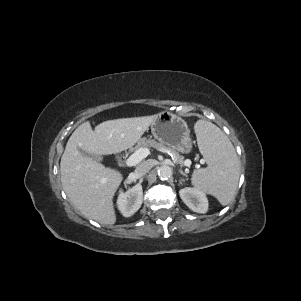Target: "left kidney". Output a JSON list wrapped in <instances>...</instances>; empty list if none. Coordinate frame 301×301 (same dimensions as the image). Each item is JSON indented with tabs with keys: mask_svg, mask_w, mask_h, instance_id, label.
Returning <instances> with one entry per match:
<instances>
[{
	"mask_svg": "<svg viewBox=\"0 0 301 301\" xmlns=\"http://www.w3.org/2000/svg\"><path fill=\"white\" fill-rule=\"evenodd\" d=\"M183 202L194 212L206 213L208 210V199L205 193L198 188L186 187L179 191Z\"/></svg>",
	"mask_w": 301,
	"mask_h": 301,
	"instance_id": "left-kidney-1",
	"label": "left kidney"
}]
</instances>
